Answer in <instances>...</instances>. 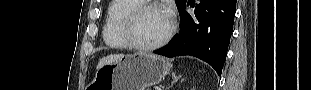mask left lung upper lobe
Here are the masks:
<instances>
[{
    "instance_id": "left-lung-upper-lobe-1",
    "label": "left lung upper lobe",
    "mask_w": 311,
    "mask_h": 90,
    "mask_svg": "<svg viewBox=\"0 0 311 90\" xmlns=\"http://www.w3.org/2000/svg\"><path fill=\"white\" fill-rule=\"evenodd\" d=\"M176 5L178 7V10L180 11V9L186 4V0H175Z\"/></svg>"
}]
</instances>
